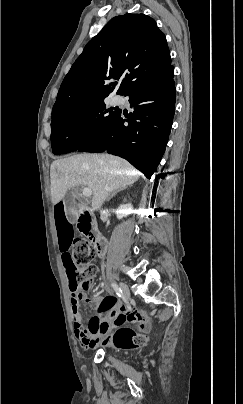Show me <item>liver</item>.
Returning <instances> with one entry per match:
<instances>
[{
	"label": "liver",
	"mask_w": 243,
	"mask_h": 404,
	"mask_svg": "<svg viewBox=\"0 0 243 404\" xmlns=\"http://www.w3.org/2000/svg\"><path fill=\"white\" fill-rule=\"evenodd\" d=\"M140 172L126 160L110 154H78L64 160H55L50 166L52 204L63 200L68 190L75 186L90 188L94 212L101 208L112 190H119L137 182Z\"/></svg>",
	"instance_id": "liver-1"
}]
</instances>
